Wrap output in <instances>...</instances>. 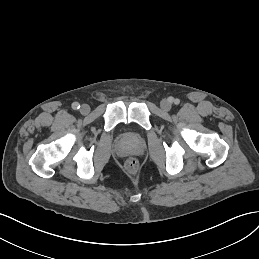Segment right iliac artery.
<instances>
[{"label":"right iliac artery","mask_w":259,"mask_h":259,"mask_svg":"<svg viewBox=\"0 0 259 259\" xmlns=\"http://www.w3.org/2000/svg\"><path fill=\"white\" fill-rule=\"evenodd\" d=\"M72 108H73L74 110H78V109L80 108L79 103H78V102H74V103L72 104Z\"/></svg>","instance_id":"1"}]
</instances>
